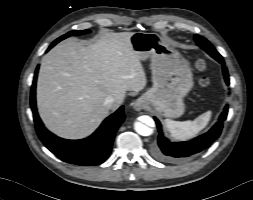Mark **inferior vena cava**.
<instances>
[{"instance_id":"602c4592","label":"inferior vena cava","mask_w":253,"mask_h":200,"mask_svg":"<svg viewBox=\"0 0 253 200\" xmlns=\"http://www.w3.org/2000/svg\"><path fill=\"white\" fill-rule=\"evenodd\" d=\"M114 102H115L114 97L108 96V97L104 100V105H105L107 108L111 109V108L113 107V105H114Z\"/></svg>"}]
</instances>
